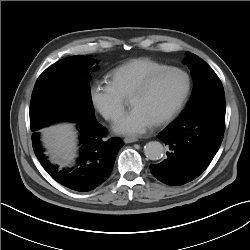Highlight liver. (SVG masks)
I'll list each match as a JSON object with an SVG mask.
<instances>
[{
    "label": "liver",
    "instance_id": "liver-1",
    "mask_svg": "<svg viewBox=\"0 0 250 250\" xmlns=\"http://www.w3.org/2000/svg\"><path fill=\"white\" fill-rule=\"evenodd\" d=\"M76 133L71 124H59L43 129V141L52 159L64 164L74 158Z\"/></svg>",
    "mask_w": 250,
    "mask_h": 250
}]
</instances>
